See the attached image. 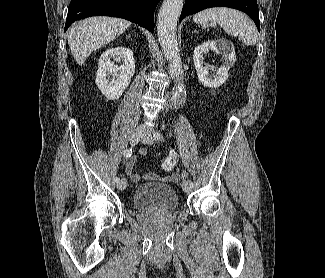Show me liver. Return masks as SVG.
Wrapping results in <instances>:
<instances>
[{"label": "liver", "instance_id": "6515ba94", "mask_svg": "<svg viewBox=\"0 0 325 278\" xmlns=\"http://www.w3.org/2000/svg\"><path fill=\"white\" fill-rule=\"evenodd\" d=\"M130 21L116 17H90L74 25L68 33L71 53L79 65L103 45L121 35Z\"/></svg>", "mask_w": 325, "mask_h": 278}]
</instances>
